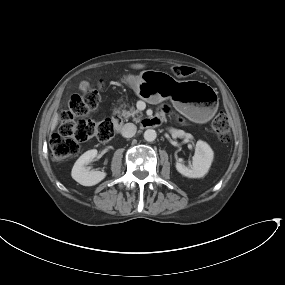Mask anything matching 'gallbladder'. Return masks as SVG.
<instances>
[{"instance_id": "gallbladder-1", "label": "gallbladder", "mask_w": 285, "mask_h": 285, "mask_svg": "<svg viewBox=\"0 0 285 285\" xmlns=\"http://www.w3.org/2000/svg\"><path fill=\"white\" fill-rule=\"evenodd\" d=\"M88 86L89 85L87 82H82L80 87H81V90L85 91V90H87Z\"/></svg>"}]
</instances>
